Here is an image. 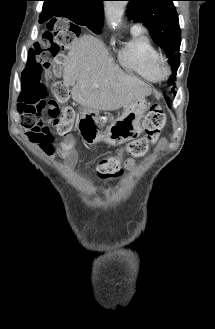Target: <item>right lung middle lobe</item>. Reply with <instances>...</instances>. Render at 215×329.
Here are the masks:
<instances>
[{"label":"right lung middle lobe","instance_id":"dd1d6c3e","mask_svg":"<svg viewBox=\"0 0 215 329\" xmlns=\"http://www.w3.org/2000/svg\"><path fill=\"white\" fill-rule=\"evenodd\" d=\"M67 18H69L71 21L74 22V24H72L71 26V29L77 35L80 33V28L78 27V25L87 26L92 32L96 33L97 35L101 33V29L103 26L102 23L87 22L84 19H82L81 16L79 15H68Z\"/></svg>","mask_w":215,"mask_h":329}]
</instances>
